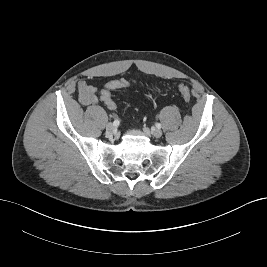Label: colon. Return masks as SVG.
Wrapping results in <instances>:
<instances>
[{"instance_id": "5ec220e1", "label": "colon", "mask_w": 267, "mask_h": 267, "mask_svg": "<svg viewBox=\"0 0 267 267\" xmlns=\"http://www.w3.org/2000/svg\"><path fill=\"white\" fill-rule=\"evenodd\" d=\"M131 85V82L124 79L113 80L108 82L104 89L101 91L102 101L107 105L108 108L114 109L116 105L112 99V92L120 88L130 87ZM178 90L185 99V101H190L191 92L187 86L181 84L178 86Z\"/></svg>"}]
</instances>
